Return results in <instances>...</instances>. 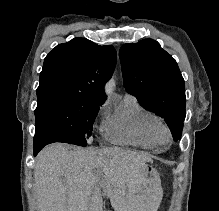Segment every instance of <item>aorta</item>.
Returning <instances> with one entry per match:
<instances>
[{"instance_id": "aorta-1", "label": "aorta", "mask_w": 219, "mask_h": 211, "mask_svg": "<svg viewBox=\"0 0 219 211\" xmlns=\"http://www.w3.org/2000/svg\"><path fill=\"white\" fill-rule=\"evenodd\" d=\"M115 87V80H114V78H112L109 82H108V84L106 85V90H107V92H110L111 90H112V88H114Z\"/></svg>"}]
</instances>
